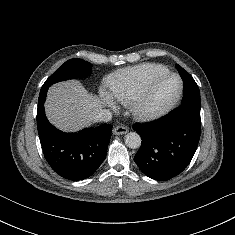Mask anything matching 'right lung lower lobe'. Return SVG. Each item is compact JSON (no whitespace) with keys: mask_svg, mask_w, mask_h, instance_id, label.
<instances>
[{"mask_svg":"<svg viewBox=\"0 0 235 235\" xmlns=\"http://www.w3.org/2000/svg\"><path fill=\"white\" fill-rule=\"evenodd\" d=\"M47 90L40 91L37 109V129L44 156L60 176L69 180L88 178L106 157L112 125L102 124L78 133H64L56 129L44 112Z\"/></svg>","mask_w":235,"mask_h":235,"instance_id":"right-lung-lower-lobe-1","label":"right lung lower lobe"}]
</instances>
